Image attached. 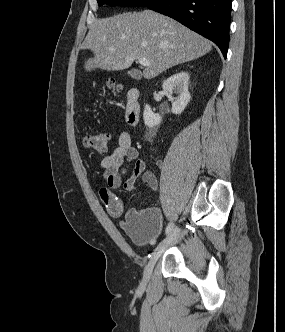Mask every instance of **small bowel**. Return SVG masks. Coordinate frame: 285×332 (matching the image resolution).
<instances>
[{"instance_id":"c3829d8e","label":"small bowel","mask_w":285,"mask_h":332,"mask_svg":"<svg viewBox=\"0 0 285 332\" xmlns=\"http://www.w3.org/2000/svg\"><path fill=\"white\" fill-rule=\"evenodd\" d=\"M129 163H134L132 173L123 181ZM99 168L102 170L103 178L107 184V187L100 189L99 196L112 217H120L124 212L123 201L114 192L115 189L123 187L124 190L131 192L134 190L139 177L151 190L158 189L155 174L146 170V163L139 158L138 149L132 145L131 135L127 131H122L119 134L117 147L101 160Z\"/></svg>"}]
</instances>
